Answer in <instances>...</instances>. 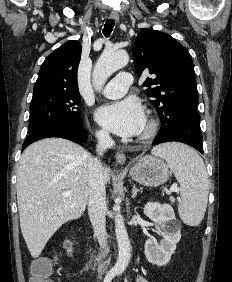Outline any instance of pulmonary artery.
<instances>
[{
    "label": "pulmonary artery",
    "mask_w": 232,
    "mask_h": 282,
    "mask_svg": "<svg viewBox=\"0 0 232 282\" xmlns=\"http://www.w3.org/2000/svg\"><path fill=\"white\" fill-rule=\"evenodd\" d=\"M132 83L131 73L121 71L104 87L102 94L109 99L120 98L126 94Z\"/></svg>",
    "instance_id": "pulmonary-artery-1"
}]
</instances>
